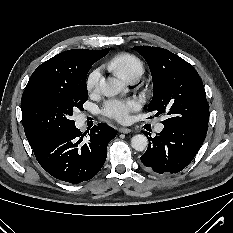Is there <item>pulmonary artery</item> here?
Returning <instances> with one entry per match:
<instances>
[{
	"mask_svg": "<svg viewBox=\"0 0 233 233\" xmlns=\"http://www.w3.org/2000/svg\"><path fill=\"white\" fill-rule=\"evenodd\" d=\"M140 76H141V74H139V73L133 74V75L129 76L126 81H128L131 84H134V83H136L138 81ZM163 128H164L163 123L159 122L155 126V131L156 132H161L163 130Z\"/></svg>",
	"mask_w": 233,
	"mask_h": 233,
	"instance_id": "e3ab8cb5",
	"label": "pulmonary artery"
}]
</instances>
